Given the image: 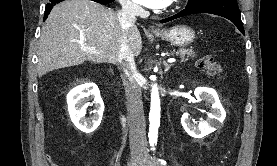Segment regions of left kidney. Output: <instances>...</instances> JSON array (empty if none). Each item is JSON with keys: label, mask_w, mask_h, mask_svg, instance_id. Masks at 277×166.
<instances>
[{"label": "left kidney", "mask_w": 277, "mask_h": 166, "mask_svg": "<svg viewBox=\"0 0 277 166\" xmlns=\"http://www.w3.org/2000/svg\"><path fill=\"white\" fill-rule=\"evenodd\" d=\"M194 94L198 102L205 101L210 108V112H207L208 117L204 122L195 126L190 122L188 113H184L181 118V124L188 135L194 138H203L220 127L226 117V112L214 89L198 87L195 89Z\"/></svg>", "instance_id": "obj_1"}]
</instances>
